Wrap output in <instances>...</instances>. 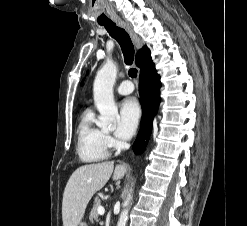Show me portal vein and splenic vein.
<instances>
[{
  "mask_svg": "<svg viewBox=\"0 0 247 226\" xmlns=\"http://www.w3.org/2000/svg\"><path fill=\"white\" fill-rule=\"evenodd\" d=\"M97 211H98V213H99L100 215H103V214L105 213V209H104V207H102V206H99L98 209H97Z\"/></svg>",
  "mask_w": 247,
  "mask_h": 226,
  "instance_id": "portal-vein-and-splenic-vein-1",
  "label": "portal vein and splenic vein"
}]
</instances>
